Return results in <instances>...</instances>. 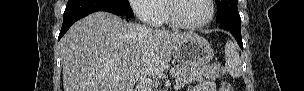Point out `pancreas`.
<instances>
[{"label":"pancreas","mask_w":304,"mask_h":91,"mask_svg":"<svg viewBox=\"0 0 304 91\" xmlns=\"http://www.w3.org/2000/svg\"><path fill=\"white\" fill-rule=\"evenodd\" d=\"M221 73H223V68L219 64L198 69L175 66L170 71V74L175 78L176 83H178L180 87L195 81L215 80Z\"/></svg>","instance_id":"pancreas-1"}]
</instances>
